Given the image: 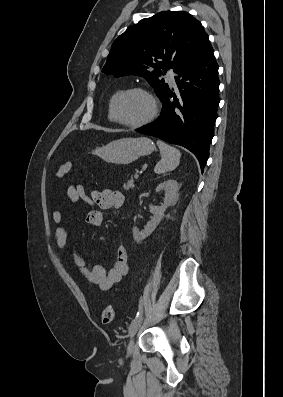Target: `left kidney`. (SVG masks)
I'll list each match as a JSON object with an SVG mask.
<instances>
[{
	"label": "left kidney",
	"instance_id": "5707ae66",
	"mask_svg": "<svg viewBox=\"0 0 283 397\" xmlns=\"http://www.w3.org/2000/svg\"><path fill=\"white\" fill-rule=\"evenodd\" d=\"M179 184L176 180H167L159 184L156 188V192L164 191V203L161 206L150 205V211L153 214L151 220L147 222L144 229L139 231L137 228H133V238L136 242H140L147 238L158 226L164 213L169 206L176 204L178 200Z\"/></svg>",
	"mask_w": 283,
	"mask_h": 397
}]
</instances>
